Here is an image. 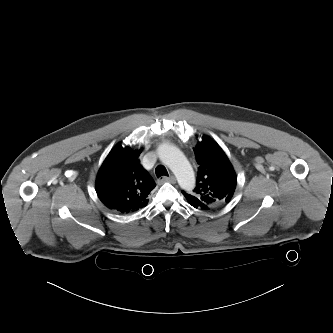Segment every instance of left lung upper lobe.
<instances>
[{"label":"left lung upper lobe","mask_w":333,"mask_h":333,"mask_svg":"<svg viewBox=\"0 0 333 333\" xmlns=\"http://www.w3.org/2000/svg\"><path fill=\"white\" fill-rule=\"evenodd\" d=\"M199 166L196 187L191 193L182 191L186 199L207 209L226 205L232 198L237 177L221 147L203 136L194 149Z\"/></svg>","instance_id":"1"}]
</instances>
